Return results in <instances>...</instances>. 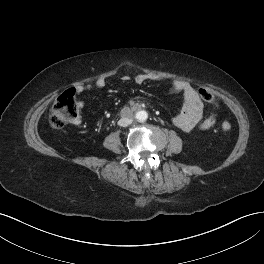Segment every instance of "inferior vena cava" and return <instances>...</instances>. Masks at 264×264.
<instances>
[{
    "instance_id": "602c4592",
    "label": "inferior vena cava",
    "mask_w": 264,
    "mask_h": 264,
    "mask_svg": "<svg viewBox=\"0 0 264 264\" xmlns=\"http://www.w3.org/2000/svg\"><path fill=\"white\" fill-rule=\"evenodd\" d=\"M132 118L123 117L118 121V125L122 127H126L132 123Z\"/></svg>"
}]
</instances>
